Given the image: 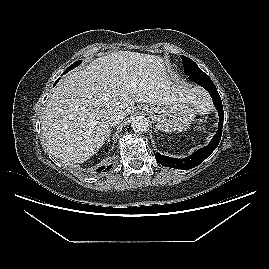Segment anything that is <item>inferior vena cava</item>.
Listing matches in <instances>:
<instances>
[{"mask_svg":"<svg viewBox=\"0 0 269 269\" xmlns=\"http://www.w3.org/2000/svg\"><path fill=\"white\" fill-rule=\"evenodd\" d=\"M123 118H124L123 111H113L107 117V121L110 126H116L122 122Z\"/></svg>","mask_w":269,"mask_h":269,"instance_id":"obj_1","label":"inferior vena cava"}]
</instances>
